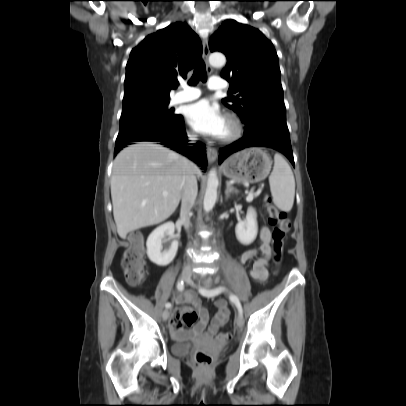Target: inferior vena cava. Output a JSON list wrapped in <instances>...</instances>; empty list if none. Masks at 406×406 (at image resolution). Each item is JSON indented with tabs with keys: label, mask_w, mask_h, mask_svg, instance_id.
I'll return each instance as SVG.
<instances>
[{
	"label": "inferior vena cava",
	"mask_w": 406,
	"mask_h": 406,
	"mask_svg": "<svg viewBox=\"0 0 406 406\" xmlns=\"http://www.w3.org/2000/svg\"><path fill=\"white\" fill-rule=\"evenodd\" d=\"M188 137L192 143L197 140L196 135H188ZM182 181L183 188L181 194L182 202L180 220L183 223L185 229L188 230L190 226L189 213L195 203L198 192L196 176L190 163H187L184 167Z\"/></svg>",
	"instance_id": "1"
}]
</instances>
